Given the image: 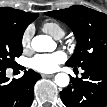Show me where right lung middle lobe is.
I'll list each match as a JSON object with an SVG mask.
<instances>
[{"label":"right lung middle lobe","instance_id":"right-lung-middle-lobe-1","mask_svg":"<svg viewBox=\"0 0 107 107\" xmlns=\"http://www.w3.org/2000/svg\"><path fill=\"white\" fill-rule=\"evenodd\" d=\"M27 25L11 15L0 13V68H12L22 54V36Z\"/></svg>","mask_w":107,"mask_h":107}]
</instances>
